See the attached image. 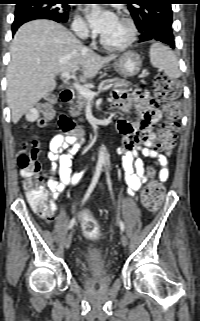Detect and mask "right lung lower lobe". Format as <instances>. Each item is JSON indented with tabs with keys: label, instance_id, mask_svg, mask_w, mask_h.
<instances>
[{
	"label": "right lung lower lobe",
	"instance_id": "1",
	"mask_svg": "<svg viewBox=\"0 0 200 321\" xmlns=\"http://www.w3.org/2000/svg\"><path fill=\"white\" fill-rule=\"evenodd\" d=\"M35 19H50L54 20L58 23H62L57 17L52 16L49 13L45 12H26L22 14H18L15 16L14 22L12 24V33L14 34L17 29L24 23L35 20Z\"/></svg>",
	"mask_w": 200,
	"mask_h": 321
}]
</instances>
